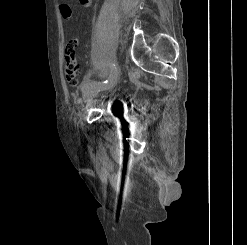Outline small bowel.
Returning <instances> with one entry per match:
<instances>
[{"label":"small bowel","instance_id":"c3829d8e","mask_svg":"<svg viewBox=\"0 0 247 245\" xmlns=\"http://www.w3.org/2000/svg\"><path fill=\"white\" fill-rule=\"evenodd\" d=\"M83 6H89L92 0H79ZM61 14L64 18L69 19L72 17V10L69 4H62L60 6Z\"/></svg>","mask_w":247,"mask_h":245}]
</instances>
